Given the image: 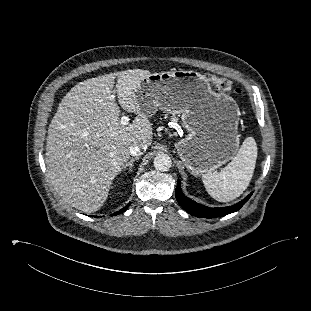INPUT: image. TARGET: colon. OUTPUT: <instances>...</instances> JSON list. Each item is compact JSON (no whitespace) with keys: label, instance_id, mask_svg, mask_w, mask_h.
<instances>
[{"label":"colon","instance_id":"obj_1","mask_svg":"<svg viewBox=\"0 0 311 311\" xmlns=\"http://www.w3.org/2000/svg\"><path fill=\"white\" fill-rule=\"evenodd\" d=\"M210 81L213 85L222 92H233L235 94H240L241 90L238 88H233L232 82L227 78L212 76L210 77Z\"/></svg>","mask_w":311,"mask_h":311}]
</instances>
